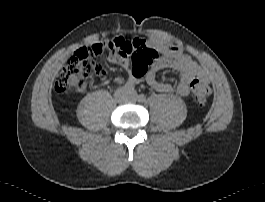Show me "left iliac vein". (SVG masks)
I'll use <instances>...</instances> for the list:
<instances>
[{
	"label": "left iliac vein",
	"instance_id": "4c4485c4",
	"mask_svg": "<svg viewBox=\"0 0 265 202\" xmlns=\"http://www.w3.org/2000/svg\"><path fill=\"white\" fill-rule=\"evenodd\" d=\"M131 97H132L133 99H136V98H137L136 94H132Z\"/></svg>",
	"mask_w": 265,
	"mask_h": 202
}]
</instances>
